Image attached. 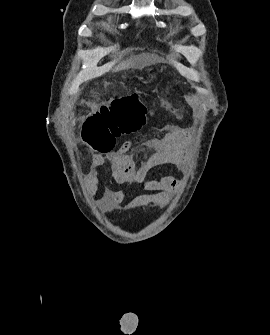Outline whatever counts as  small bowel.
I'll list each match as a JSON object with an SVG mask.
<instances>
[{"label": "small bowel", "instance_id": "obj_1", "mask_svg": "<svg viewBox=\"0 0 270 335\" xmlns=\"http://www.w3.org/2000/svg\"><path fill=\"white\" fill-rule=\"evenodd\" d=\"M173 112L177 117L181 116L179 111ZM185 140V130L177 124H169L161 136L148 141L147 147L152 152L144 156L139 165L128 153L131 147L129 140L109 155L93 154L87 173V182L90 187L97 186L99 170L107 164L114 181L125 185V188L119 190L106 188L100 202L101 208L104 211L118 209L127 197L129 190L138 185L143 186L145 193L134 198L128 205L129 209L139 208L146 204L165 206L169 201L168 195L179 186V181L168 173L152 178L149 177V172L162 165L184 164L187 159Z\"/></svg>", "mask_w": 270, "mask_h": 335}]
</instances>
